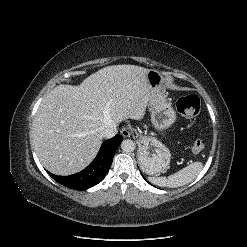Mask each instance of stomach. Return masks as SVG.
Segmentation results:
<instances>
[{
    "label": "stomach",
    "instance_id": "obj_1",
    "mask_svg": "<svg viewBox=\"0 0 247 247\" xmlns=\"http://www.w3.org/2000/svg\"><path fill=\"white\" fill-rule=\"evenodd\" d=\"M147 79L152 87L151 122L157 131L164 132L175 122L176 112L167 99L163 87V74L157 70H149ZM138 146V162L143 172L156 176L168 169L171 154L159 140L155 137L141 136Z\"/></svg>",
    "mask_w": 247,
    "mask_h": 247
}]
</instances>
